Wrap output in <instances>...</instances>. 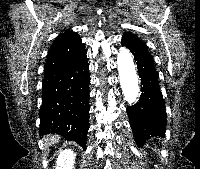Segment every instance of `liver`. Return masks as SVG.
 <instances>
[{
    "label": "liver",
    "instance_id": "6515ba94",
    "mask_svg": "<svg viewBox=\"0 0 200 169\" xmlns=\"http://www.w3.org/2000/svg\"><path fill=\"white\" fill-rule=\"evenodd\" d=\"M60 140L59 135H49L45 137V145L46 146H51L52 144L58 142Z\"/></svg>",
    "mask_w": 200,
    "mask_h": 169
}]
</instances>
